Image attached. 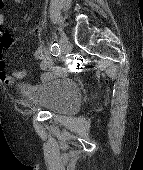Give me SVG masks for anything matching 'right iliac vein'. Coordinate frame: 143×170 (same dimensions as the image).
<instances>
[{"mask_svg": "<svg viewBox=\"0 0 143 170\" xmlns=\"http://www.w3.org/2000/svg\"><path fill=\"white\" fill-rule=\"evenodd\" d=\"M60 40H61V43H62L60 59L64 60L67 56V53L69 52L70 43H69L66 35L63 32L60 33Z\"/></svg>", "mask_w": 143, "mask_h": 170, "instance_id": "right-iliac-vein-1", "label": "right iliac vein"}]
</instances>
